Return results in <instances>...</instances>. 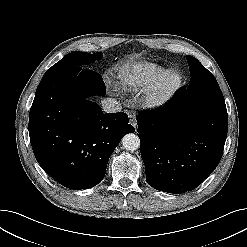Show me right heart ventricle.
Wrapping results in <instances>:
<instances>
[{"instance_id": "right-heart-ventricle-1", "label": "right heart ventricle", "mask_w": 247, "mask_h": 247, "mask_svg": "<svg viewBox=\"0 0 247 247\" xmlns=\"http://www.w3.org/2000/svg\"><path fill=\"white\" fill-rule=\"evenodd\" d=\"M165 71L162 65L155 62H136L119 73V85L125 91L138 92L150 86Z\"/></svg>"}]
</instances>
